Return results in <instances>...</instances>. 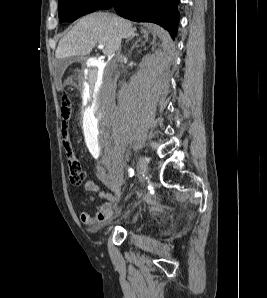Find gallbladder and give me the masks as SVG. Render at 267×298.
Here are the masks:
<instances>
[{
    "instance_id": "obj_1",
    "label": "gallbladder",
    "mask_w": 267,
    "mask_h": 298,
    "mask_svg": "<svg viewBox=\"0 0 267 298\" xmlns=\"http://www.w3.org/2000/svg\"><path fill=\"white\" fill-rule=\"evenodd\" d=\"M74 60H84V57L59 59L57 61V72L59 74L62 73L65 70V68Z\"/></svg>"
}]
</instances>
